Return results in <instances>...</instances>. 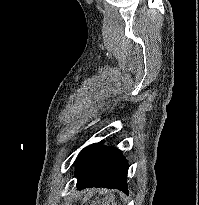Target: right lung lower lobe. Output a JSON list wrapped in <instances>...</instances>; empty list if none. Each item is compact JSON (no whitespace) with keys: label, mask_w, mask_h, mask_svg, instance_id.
<instances>
[{"label":"right lung lower lobe","mask_w":199,"mask_h":205,"mask_svg":"<svg viewBox=\"0 0 199 205\" xmlns=\"http://www.w3.org/2000/svg\"><path fill=\"white\" fill-rule=\"evenodd\" d=\"M128 164L120 150L101 145L76 165L77 189L103 187L127 193Z\"/></svg>","instance_id":"obj_1"}]
</instances>
